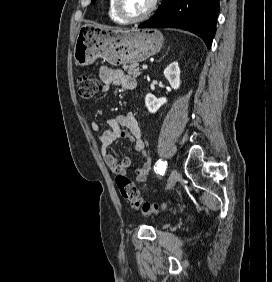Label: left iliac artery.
<instances>
[{
	"instance_id": "obj_1",
	"label": "left iliac artery",
	"mask_w": 272,
	"mask_h": 282,
	"mask_svg": "<svg viewBox=\"0 0 272 282\" xmlns=\"http://www.w3.org/2000/svg\"><path fill=\"white\" fill-rule=\"evenodd\" d=\"M166 165H167V162H163V161H159L157 162L156 164V171L159 175H163L165 173V170H166Z\"/></svg>"
}]
</instances>
